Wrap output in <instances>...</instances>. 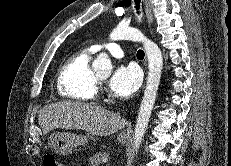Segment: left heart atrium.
I'll return each mask as SVG.
<instances>
[{"mask_svg": "<svg viewBox=\"0 0 231 166\" xmlns=\"http://www.w3.org/2000/svg\"><path fill=\"white\" fill-rule=\"evenodd\" d=\"M142 80L141 72L135 65H121L115 69L109 86L113 93L119 97L128 98L140 87Z\"/></svg>", "mask_w": 231, "mask_h": 166, "instance_id": "left-heart-atrium-1", "label": "left heart atrium"}]
</instances>
